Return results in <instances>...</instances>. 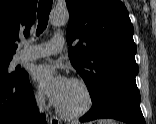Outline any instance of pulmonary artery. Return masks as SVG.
Wrapping results in <instances>:
<instances>
[{
	"label": "pulmonary artery",
	"instance_id": "1",
	"mask_svg": "<svg viewBox=\"0 0 156 124\" xmlns=\"http://www.w3.org/2000/svg\"><path fill=\"white\" fill-rule=\"evenodd\" d=\"M65 45L64 38L62 36H54L50 41L38 44L36 46L26 48L18 55V62H26L35 60L37 58L57 55L61 53Z\"/></svg>",
	"mask_w": 156,
	"mask_h": 124
}]
</instances>
